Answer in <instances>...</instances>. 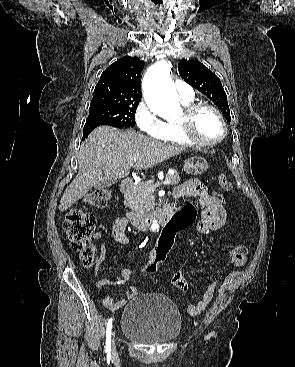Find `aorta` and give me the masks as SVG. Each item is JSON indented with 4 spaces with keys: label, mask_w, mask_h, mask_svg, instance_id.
<instances>
[{
    "label": "aorta",
    "mask_w": 295,
    "mask_h": 367,
    "mask_svg": "<svg viewBox=\"0 0 295 367\" xmlns=\"http://www.w3.org/2000/svg\"><path fill=\"white\" fill-rule=\"evenodd\" d=\"M144 98L152 112L164 117L174 118L181 114L176 89L170 79V66L167 61L152 65L144 76ZM158 229L157 225L152 226Z\"/></svg>",
    "instance_id": "1"
}]
</instances>
